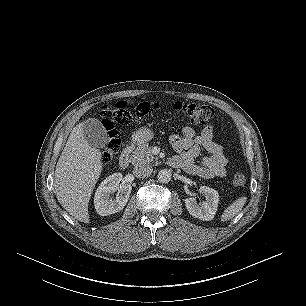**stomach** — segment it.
Wrapping results in <instances>:
<instances>
[{
  "label": "stomach",
  "mask_w": 306,
  "mask_h": 306,
  "mask_svg": "<svg viewBox=\"0 0 306 306\" xmlns=\"http://www.w3.org/2000/svg\"><path fill=\"white\" fill-rule=\"evenodd\" d=\"M153 136L154 134L152 130L148 128H141L132 134V140L136 143L141 144L150 141Z\"/></svg>",
  "instance_id": "stomach-1"
}]
</instances>
